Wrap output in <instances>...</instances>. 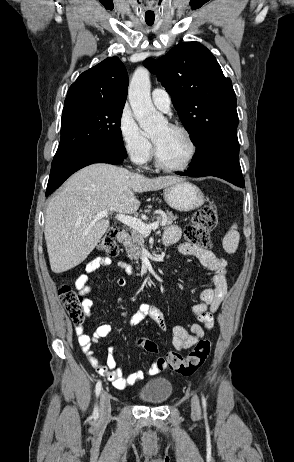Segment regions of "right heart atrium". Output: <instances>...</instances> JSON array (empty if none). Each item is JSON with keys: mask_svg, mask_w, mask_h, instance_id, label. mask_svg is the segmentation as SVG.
I'll list each match as a JSON object with an SVG mask.
<instances>
[{"mask_svg": "<svg viewBox=\"0 0 294 462\" xmlns=\"http://www.w3.org/2000/svg\"><path fill=\"white\" fill-rule=\"evenodd\" d=\"M118 133L127 155L137 164H145L152 153V144L138 126L132 111L123 107L118 118Z\"/></svg>", "mask_w": 294, "mask_h": 462, "instance_id": "right-heart-atrium-1", "label": "right heart atrium"}]
</instances>
